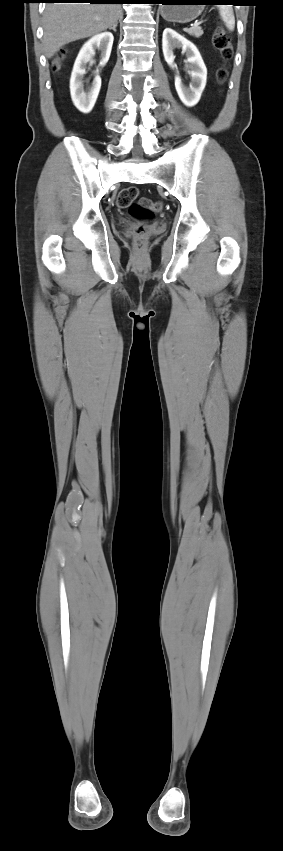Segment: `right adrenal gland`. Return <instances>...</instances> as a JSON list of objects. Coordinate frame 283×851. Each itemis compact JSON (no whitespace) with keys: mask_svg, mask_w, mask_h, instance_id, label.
<instances>
[{"mask_svg":"<svg viewBox=\"0 0 283 851\" xmlns=\"http://www.w3.org/2000/svg\"><path fill=\"white\" fill-rule=\"evenodd\" d=\"M116 27H117V23L113 27H111L110 30H113L114 32H116Z\"/></svg>","mask_w":283,"mask_h":851,"instance_id":"obj_1","label":"right adrenal gland"}]
</instances>
